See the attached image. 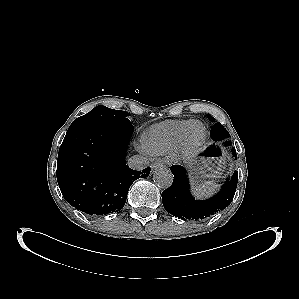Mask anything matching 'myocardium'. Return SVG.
Wrapping results in <instances>:
<instances>
[{
	"instance_id": "myocardium-1",
	"label": "myocardium",
	"mask_w": 299,
	"mask_h": 299,
	"mask_svg": "<svg viewBox=\"0 0 299 299\" xmlns=\"http://www.w3.org/2000/svg\"><path fill=\"white\" fill-rule=\"evenodd\" d=\"M195 124H199L202 127V135H201V138L196 143L190 144L188 142V134H189L190 128ZM206 137H207V129H206L205 125L199 120L191 121L187 125V127L185 128L183 133L181 134L180 139H179L176 147L174 148V155L177 158L182 159V160H187V159L192 158L202 148V146L205 143Z\"/></svg>"
}]
</instances>
